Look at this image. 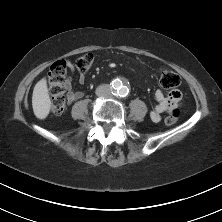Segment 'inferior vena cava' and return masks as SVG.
<instances>
[{"label": "inferior vena cava", "mask_w": 222, "mask_h": 222, "mask_svg": "<svg viewBox=\"0 0 222 222\" xmlns=\"http://www.w3.org/2000/svg\"><path fill=\"white\" fill-rule=\"evenodd\" d=\"M96 95L98 97L110 98L112 96L111 87L107 84L100 85L96 88Z\"/></svg>", "instance_id": "obj_1"}]
</instances>
